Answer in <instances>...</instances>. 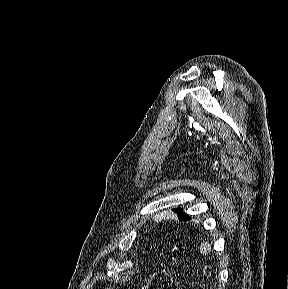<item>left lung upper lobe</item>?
I'll list each match as a JSON object with an SVG mask.
<instances>
[{
    "label": "left lung upper lobe",
    "mask_w": 288,
    "mask_h": 289,
    "mask_svg": "<svg viewBox=\"0 0 288 289\" xmlns=\"http://www.w3.org/2000/svg\"><path fill=\"white\" fill-rule=\"evenodd\" d=\"M173 210L177 213L180 221H186L189 218V216L187 214L183 213L182 209L176 208Z\"/></svg>",
    "instance_id": "5c2ea615"
}]
</instances>
